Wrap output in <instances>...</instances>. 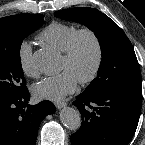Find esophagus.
Here are the masks:
<instances>
[{
    "label": "esophagus",
    "mask_w": 145,
    "mask_h": 145,
    "mask_svg": "<svg viewBox=\"0 0 145 145\" xmlns=\"http://www.w3.org/2000/svg\"><path fill=\"white\" fill-rule=\"evenodd\" d=\"M54 104H55L56 108H58V109H62L63 107H65L67 105L66 102H64V101H58V102H55Z\"/></svg>",
    "instance_id": "obj_1"
}]
</instances>
